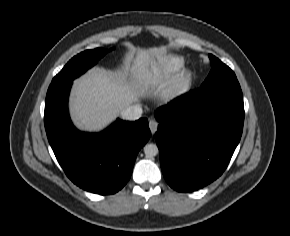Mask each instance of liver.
Masks as SVG:
<instances>
[{
    "label": "liver",
    "mask_w": 290,
    "mask_h": 236,
    "mask_svg": "<svg viewBox=\"0 0 290 236\" xmlns=\"http://www.w3.org/2000/svg\"><path fill=\"white\" fill-rule=\"evenodd\" d=\"M165 47L139 50L128 56L124 72L93 68L76 79L70 97V114L81 130L100 131L132 104L140 101L154 85L152 69ZM131 62L132 65H131ZM131 79L128 80V72Z\"/></svg>",
    "instance_id": "6515ba94"
}]
</instances>
